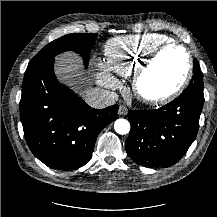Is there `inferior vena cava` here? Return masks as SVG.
<instances>
[{
  "instance_id": "inferior-vena-cava-1",
  "label": "inferior vena cava",
  "mask_w": 217,
  "mask_h": 217,
  "mask_svg": "<svg viewBox=\"0 0 217 217\" xmlns=\"http://www.w3.org/2000/svg\"><path fill=\"white\" fill-rule=\"evenodd\" d=\"M117 98L116 93L101 88L90 89L85 95V102L96 109L113 105Z\"/></svg>"
}]
</instances>
